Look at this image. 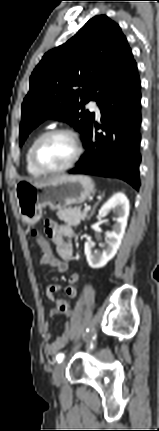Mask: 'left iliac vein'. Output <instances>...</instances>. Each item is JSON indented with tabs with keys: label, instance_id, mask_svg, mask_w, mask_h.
<instances>
[{
	"label": "left iliac vein",
	"instance_id": "left-iliac-vein-1",
	"mask_svg": "<svg viewBox=\"0 0 159 431\" xmlns=\"http://www.w3.org/2000/svg\"><path fill=\"white\" fill-rule=\"evenodd\" d=\"M66 363L64 361L58 363L53 372V381L57 387H59L62 383L64 371H65Z\"/></svg>",
	"mask_w": 159,
	"mask_h": 431
}]
</instances>
